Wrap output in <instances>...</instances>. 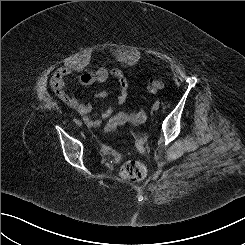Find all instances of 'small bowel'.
<instances>
[{
    "mask_svg": "<svg viewBox=\"0 0 245 245\" xmlns=\"http://www.w3.org/2000/svg\"><path fill=\"white\" fill-rule=\"evenodd\" d=\"M76 69L65 66L58 68L52 75L50 85L55 95L70 108L74 109L90 128H96L103 122L112 117L118 106L122 105L128 96V83L121 69H108L105 66L98 67L93 72H84L76 76V80L81 85H90L93 83H103L109 78L117 80L119 84L118 95L115 104L104 109L99 117L91 116L92 104L90 102H81L77 97L66 91L67 78L71 76ZM108 96L107 91L101 90L95 93V97L104 99Z\"/></svg>",
    "mask_w": 245,
    "mask_h": 245,
    "instance_id": "1",
    "label": "small bowel"
}]
</instances>
